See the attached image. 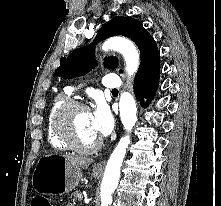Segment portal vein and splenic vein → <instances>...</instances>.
I'll list each match as a JSON object with an SVG mask.
<instances>
[{"label":"portal vein and splenic vein","instance_id":"18ae733b","mask_svg":"<svg viewBox=\"0 0 221 206\" xmlns=\"http://www.w3.org/2000/svg\"><path fill=\"white\" fill-rule=\"evenodd\" d=\"M83 199V196L82 195H80V196H78V200H82Z\"/></svg>","mask_w":221,"mask_h":206}]
</instances>
